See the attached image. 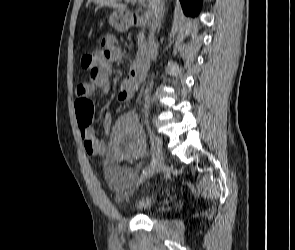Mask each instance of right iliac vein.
<instances>
[{
    "label": "right iliac vein",
    "mask_w": 295,
    "mask_h": 250,
    "mask_svg": "<svg viewBox=\"0 0 295 250\" xmlns=\"http://www.w3.org/2000/svg\"><path fill=\"white\" fill-rule=\"evenodd\" d=\"M150 138L152 144L151 152L156 162L150 172H148L147 174H143L140 177V183L145 182L149 177L153 176L154 174L161 172L165 167L164 158L162 154V143L160 138L154 133H150Z\"/></svg>",
    "instance_id": "obj_1"
}]
</instances>
